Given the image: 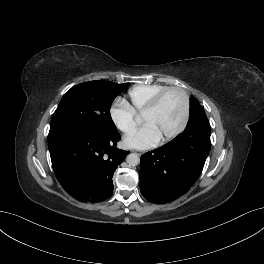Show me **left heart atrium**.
Masks as SVG:
<instances>
[{
  "mask_svg": "<svg viewBox=\"0 0 264 264\" xmlns=\"http://www.w3.org/2000/svg\"><path fill=\"white\" fill-rule=\"evenodd\" d=\"M162 137L151 124H144L134 133L126 136L123 140L125 147L133 149H148L156 146Z\"/></svg>",
  "mask_w": 264,
  "mask_h": 264,
  "instance_id": "1",
  "label": "left heart atrium"
}]
</instances>
